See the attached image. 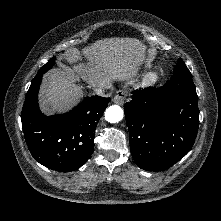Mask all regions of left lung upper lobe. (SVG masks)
Returning <instances> with one entry per match:
<instances>
[{"instance_id":"obj_1","label":"left lung upper lobe","mask_w":221,"mask_h":221,"mask_svg":"<svg viewBox=\"0 0 221 221\" xmlns=\"http://www.w3.org/2000/svg\"><path fill=\"white\" fill-rule=\"evenodd\" d=\"M177 76H191L190 71L188 70L184 61L181 58L178 59L177 65L174 67L173 75L171 78Z\"/></svg>"}]
</instances>
